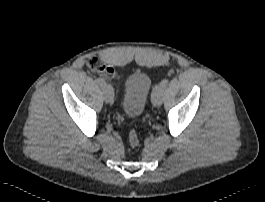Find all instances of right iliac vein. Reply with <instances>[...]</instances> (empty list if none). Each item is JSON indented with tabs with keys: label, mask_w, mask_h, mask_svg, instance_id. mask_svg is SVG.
Returning a JSON list of instances; mask_svg holds the SVG:
<instances>
[{
	"label": "right iliac vein",
	"mask_w": 265,
	"mask_h": 202,
	"mask_svg": "<svg viewBox=\"0 0 265 202\" xmlns=\"http://www.w3.org/2000/svg\"><path fill=\"white\" fill-rule=\"evenodd\" d=\"M102 93H103V98H104L105 102H107V103L113 102L114 90H113L112 86L105 84L102 87Z\"/></svg>",
	"instance_id": "1"
}]
</instances>
